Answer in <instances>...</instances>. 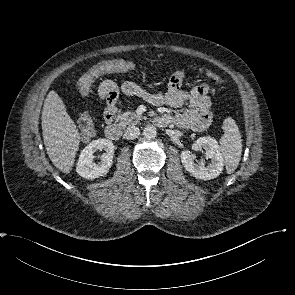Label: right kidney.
<instances>
[{
  "label": "right kidney",
  "instance_id": "ca27d5eb",
  "mask_svg": "<svg viewBox=\"0 0 295 295\" xmlns=\"http://www.w3.org/2000/svg\"><path fill=\"white\" fill-rule=\"evenodd\" d=\"M105 150L101 162L94 163V153ZM114 156V144L108 139H97L89 143L79 156L76 172L83 178L95 179L108 173Z\"/></svg>",
  "mask_w": 295,
  "mask_h": 295
}]
</instances>
